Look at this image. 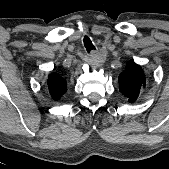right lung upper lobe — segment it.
<instances>
[{
    "label": "right lung upper lobe",
    "instance_id": "obj_1",
    "mask_svg": "<svg viewBox=\"0 0 169 169\" xmlns=\"http://www.w3.org/2000/svg\"><path fill=\"white\" fill-rule=\"evenodd\" d=\"M48 89L54 100H59L67 91L66 80L55 72L51 73L48 78Z\"/></svg>",
    "mask_w": 169,
    "mask_h": 169
}]
</instances>
